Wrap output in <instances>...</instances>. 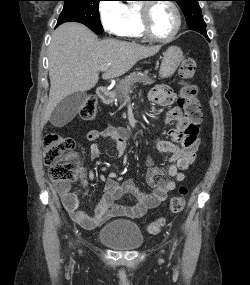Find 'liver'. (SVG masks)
Here are the masks:
<instances>
[{
    "instance_id": "6515ba94",
    "label": "liver",
    "mask_w": 250,
    "mask_h": 285,
    "mask_svg": "<svg viewBox=\"0 0 250 285\" xmlns=\"http://www.w3.org/2000/svg\"><path fill=\"white\" fill-rule=\"evenodd\" d=\"M160 46H143L116 39L99 40L86 26L68 22L52 34L49 46V101L43 115L45 124L59 102L76 92L92 89L100 69L110 64L103 79L119 77L137 61L151 57Z\"/></svg>"
}]
</instances>
